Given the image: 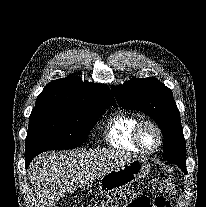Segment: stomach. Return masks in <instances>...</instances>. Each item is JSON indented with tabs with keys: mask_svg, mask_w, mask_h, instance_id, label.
Here are the masks:
<instances>
[{
	"mask_svg": "<svg viewBox=\"0 0 206 207\" xmlns=\"http://www.w3.org/2000/svg\"><path fill=\"white\" fill-rule=\"evenodd\" d=\"M149 172V161L144 158H136L102 176L99 180L98 189L101 193L117 191L126 185L145 178Z\"/></svg>",
	"mask_w": 206,
	"mask_h": 207,
	"instance_id": "0dacf381",
	"label": "stomach"
}]
</instances>
